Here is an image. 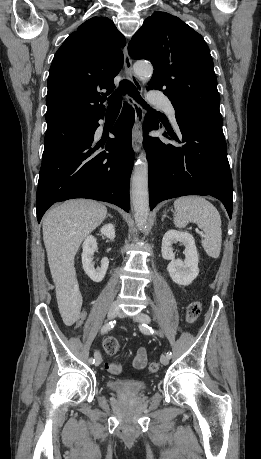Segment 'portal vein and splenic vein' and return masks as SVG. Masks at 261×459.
<instances>
[{
	"label": "portal vein and splenic vein",
	"instance_id": "portal-vein-and-splenic-vein-1",
	"mask_svg": "<svg viewBox=\"0 0 261 459\" xmlns=\"http://www.w3.org/2000/svg\"><path fill=\"white\" fill-rule=\"evenodd\" d=\"M199 234H200L201 236H204L203 232H201V231L199 232Z\"/></svg>",
	"mask_w": 261,
	"mask_h": 459
}]
</instances>
